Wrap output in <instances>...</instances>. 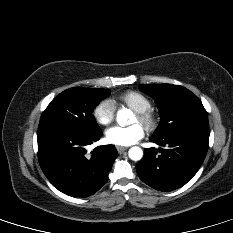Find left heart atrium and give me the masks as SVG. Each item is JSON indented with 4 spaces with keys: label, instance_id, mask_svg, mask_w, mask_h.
Segmentation results:
<instances>
[{
    "label": "left heart atrium",
    "instance_id": "39dd6f15",
    "mask_svg": "<svg viewBox=\"0 0 233 233\" xmlns=\"http://www.w3.org/2000/svg\"><path fill=\"white\" fill-rule=\"evenodd\" d=\"M142 125L136 123L131 126H113L106 131V139L110 144L130 146L144 137Z\"/></svg>",
    "mask_w": 233,
    "mask_h": 233
}]
</instances>
